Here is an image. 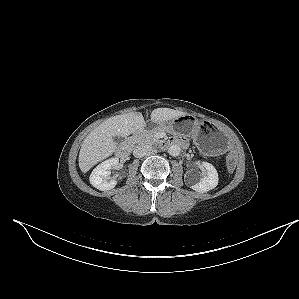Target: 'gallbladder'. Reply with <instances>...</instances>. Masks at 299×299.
Masks as SVG:
<instances>
[{
  "label": "gallbladder",
  "mask_w": 299,
  "mask_h": 299,
  "mask_svg": "<svg viewBox=\"0 0 299 299\" xmlns=\"http://www.w3.org/2000/svg\"><path fill=\"white\" fill-rule=\"evenodd\" d=\"M113 140H114V142H115L116 144H120V143H122V142L124 141V138L121 137V136H114V137H113Z\"/></svg>",
  "instance_id": "1"
}]
</instances>
